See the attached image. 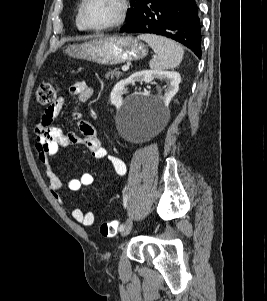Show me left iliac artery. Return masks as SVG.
<instances>
[{
	"label": "left iliac artery",
	"mask_w": 267,
	"mask_h": 301,
	"mask_svg": "<svg viewBox=\"0 0 267 301\" xmlns=\"http://www.w3.org/2000/svg\"><path fill=\"white\" fill-rule=\"evenodd\" d=\"M127 201H128V196H127V194H125V196H124V198H123V202H124V207H125V208L127 207ZM123 228H124V225L121 224V225L119 226V231H122Z\"/></svg>",
	"instance_id": "obj_1"
}]
</instances>
